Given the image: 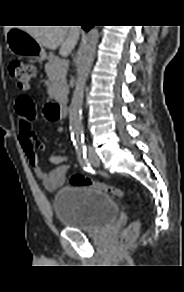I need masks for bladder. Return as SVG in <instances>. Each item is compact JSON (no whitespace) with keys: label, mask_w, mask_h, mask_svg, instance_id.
Listing matches in <instances>:
<instances>
[{"label":"bladder","mask_w":184,"mask_h":292,"mask_svg":"<svg viewBox=\"0 0 184 292\" xmlns=\"http://www.w3.org/2000/svg\"><path fill=\"white\" fill-rule=\"evenodd\" d=\"M53 210L64 227L87 233L100 232L118 217V204L91 186H66L55 196Z\"/></svg>","instance_id":"1"}]
</instances>
